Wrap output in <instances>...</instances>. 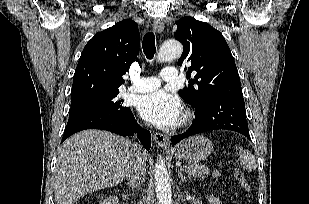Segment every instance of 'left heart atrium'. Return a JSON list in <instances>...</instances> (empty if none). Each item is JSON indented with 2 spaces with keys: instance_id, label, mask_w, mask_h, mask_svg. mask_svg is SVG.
<instances>
[{
  "instance_id": "left-heart-atrium-1",
  "label": "left heart atrium",
  "mask_w": 309,
  "mask_h": 204,
  "mask_svg": "<svg viewBox=\"0 0 309 204\" xmlns=\"http://www.w3.org/2000/svg\"><path fill=\"white\" fill-rule=\"evenodd\" d=\"M141 116L159 128L176 126L182 117L179 99L163 90L141 96L137 103Z\"/></svg>"
}]
</instances>
